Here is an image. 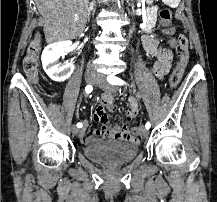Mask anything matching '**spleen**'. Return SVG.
Instances as JSON below:
<instances>
[{"instance_id": "1", "label": "spleen", "mask_w": 217, "mask_h": 202, "mask_svg": "<svg viewBox=\"0 0 217 202\" xmlns=\"http://www.w3.org/2000/svg\"><path fill=\"white\" fill-rule=\"evenodd\" d=\"M165 5H168V7H179V0H165Z\"/></svg>"}]
</instances>
